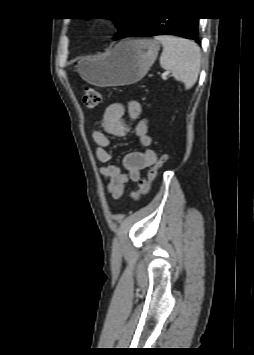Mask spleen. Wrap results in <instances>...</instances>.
<instances>
[{
  "mask_svg": "<svg viewBox=\"0 0 254 355\" xmlns=\"http://www.w3.org/2000/svg\"><path fill=\"white\" fill-rule=\"evenodd\" d=\"M163 45L160 65L172 73L175 80L184 83L190 89L197 81L201 66V51L190 40L175 36H155Z\"/></svg>",
  "mask_w": 254,
  "mask_h": 355,
  "instance_id": "obj_1",
  "label": "spleen"
}]
</instances>
